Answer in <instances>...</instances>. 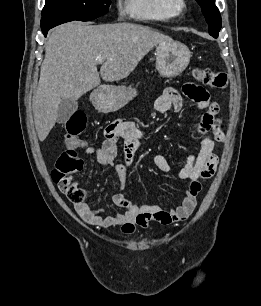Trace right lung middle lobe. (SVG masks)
<instances>
[{
    "mask_svg": "<svg viewBox=\"0 0 261 306\" xmlns=\"http://www.w3.org/2000/svg\"><path fill=\"white\" fill-rule=\"evenodd\" d=\"M111 0H46L42 18L89 21L106 14Z\"/></svg>",
    "mask_w": 261,
    "mask_h": 306,
    "instance_id": "1",
    "label": "right lung middle lobe"
}]
</instances>
